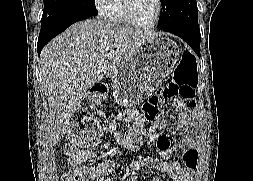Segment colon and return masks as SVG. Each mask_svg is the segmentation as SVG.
Here are the masks:
<instances>
[{"instance_id": "colon-1", "label": "colon", "mask_w": 253, "mask_h": 181, "mask_svg": "<svg viewBox=\"0 0 253 181\" xmlns=\"http://www.w3.org/2000/svg\"><path fill=\"white\" fill-rule=\"evenodd\" d=\"M197 85V63L195 57L189 52L182 56L180 64L173 73V78L160 90L150 97L144 106V117L152 120L158 114L163 103L180 96L185 100H190L194 95ZM99 126L93 115L85 110L76 111L66 128V138L68 146L66 150H71L77 146L90 147L96 143ZM63 181H83L81 176L68 173Z\"/></svg>"}]
</instances>
